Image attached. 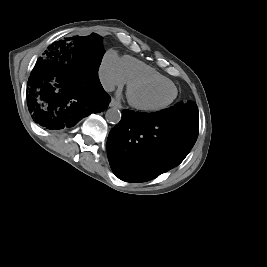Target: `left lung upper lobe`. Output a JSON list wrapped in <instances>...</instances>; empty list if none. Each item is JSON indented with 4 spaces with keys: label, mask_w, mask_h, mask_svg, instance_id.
Wrapping results in <instances>:
<instances>
[{
    "label": "left lung upper lobe",
    "mask_w": 267,
    "mask_h": 267,
    "mask_svg": "<svg viewBox=\"0 0 267 267\" xmlns=\"http://www.w3.org/2000/svg\"><path fill=\"white\" fill-rule=\"evenodd\" d=\"M173 108H187L193 111H198L197 105L192 101L187 103L179 102Z\"/></svg>",
    "instance_id": "1"
}]
</instances>
